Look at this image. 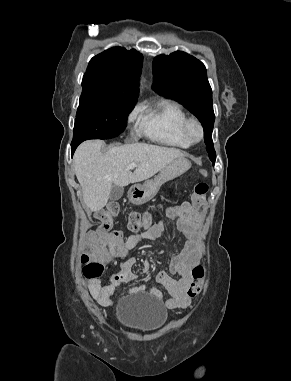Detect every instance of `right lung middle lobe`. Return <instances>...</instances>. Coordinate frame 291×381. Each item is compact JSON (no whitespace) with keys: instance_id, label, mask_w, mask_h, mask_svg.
Instances as JSON below:
<instances>
[{"instance_id":"dd1d6c3e","label":"right lung middle lobe","mask_w":291,"mask_h":381,"mask_svg":"<svg viewBox=\"0 0 291 381\" xmlns=\"http://www.w3.org/2000/svg\"><path fill=\"white\" fill-rule=\"evenodd\" d=\"M135 101L107 94L82 92L76 114L72 143L88 139H109L125 128L128 113Z\"/></svg>"}]
</instances>
